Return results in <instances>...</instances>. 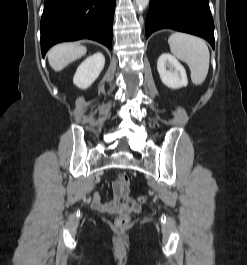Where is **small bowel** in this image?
Listing matches in <instances>:
<instances>
[{"label":"small bowel","instance_id":"small-bowel-1","mask_svg":"<svg viewBox=\"0 0 247 265\" xmlns=\"http://www.w3.org/2000/svg\"><path fill=\"white\" fill-rule=\"evenodd\" d=\"M113 192V200L106 203L102 201L100 193L95 192L92 207L106 214L127 215L140 212V205L129 197V192H123L117 182L114 184Z\"/></svg>","mask_w":247,"mask_h":265}]
</instances>
